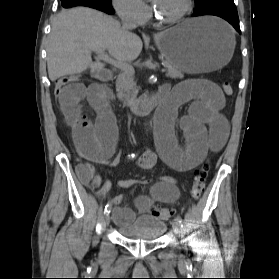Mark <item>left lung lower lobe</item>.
<instances>
[{"mask_svg":"<svg viewBox=\"0 0 279 279\" xmlns=\"http://www.w3.org/2000/svg\"><path fill=\"white\" fill-rule=\"evenodd\" d=\"M201 15H215L227 20L239 33V18L233 0H207L197 6L193 17Z\"/></svg>","mask_w":279,"mask_h":279,"instance_id":"left-lung-lower-lobe-1","label":"left lung lower lobe"}]
</instances>
